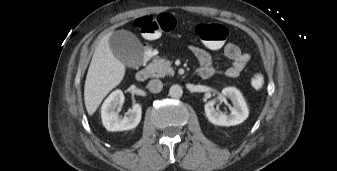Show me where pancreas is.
Returning a JSON list of instances; mask_svg holds the SVG:
<instances>
[{
    "label": "pancreas",
    "instance_id": "1",
    "mask_svg": "<svg viewBox=\"0 0 337 171\" xmlns=\"http://www.w3.org/2000/svg\"><path fill=\"white\" fill-rule=\"evenodd\" d=\"M155 77H164L165 75L174 74L171 62L162 58L154 59L148 66Z\"/></svg>",
    "mask_w": 337,
    "mask_h": 171
}]
</instances>
